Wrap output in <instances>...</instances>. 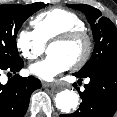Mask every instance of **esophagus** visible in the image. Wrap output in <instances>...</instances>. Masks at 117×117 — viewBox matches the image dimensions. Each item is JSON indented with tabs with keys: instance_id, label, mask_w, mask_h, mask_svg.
I'll use <instances>...</instances> for the list:
<instances>
[{
	"instance_id": "1",
	"label": "esophagus",
	"mask_w": 117,
	"mask_h": 117,
	"mask_svg": "<svg viewBox=\"0 0 117 117\" xmlns=\"http://www.w3.org/2000/svg\"><path fill=\"white\" fill-rule=\"evenodd\" d=\"M42 86H43L44 88H47V87H52L53 84L48 83V82H42Z\"/></svg>"
}]
</instances>
